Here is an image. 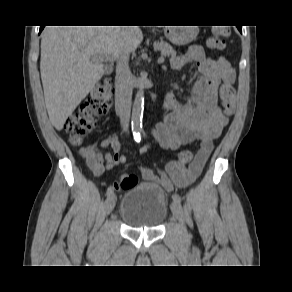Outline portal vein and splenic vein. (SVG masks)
<instances>
[{"instance_id": "portal-vein-and-splenic-vein-1", "label": "portal vein and splenic vein", "mask_w": 292, "mask_h": 292, "mask_svg": "<svg viewBox=\"0 0 292 292\" xmlns=\"http://www.w3.org/2000/svg\"><path fill=\"white\" fill-rule=\"evenodd\" d=\"M93 58H94V59L103 60V57L100 56V55H94ZM163 62H164V58H163V57H160V58L158 59V63L162 64Z\"/></svg>"}]
</instances>
